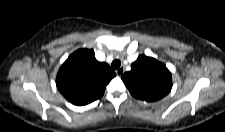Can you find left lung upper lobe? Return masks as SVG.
<instances>
[{
    "mask_svg": "<svg viewBox=\"0 0 225 132\" xmlns=\"http://www.w3.org/2000/svg\"><path fill=\"white\" fill-rule=\"evenodd\" d=\"M122 80L135 98L148 102L163 98L172 88V75L166 66L145 55L138 57Z\"/></svg>",
    "mask_w": 225,
    "mask_h": 132,
    "instance_id": "1",
    "label": "left lung upper lobe"
}]
</instances>
